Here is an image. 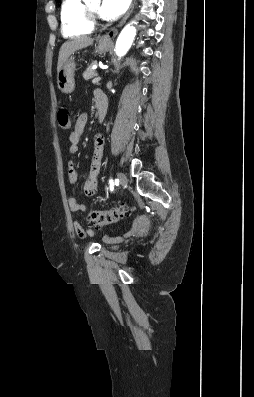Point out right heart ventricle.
I'll return each mask as SVG.
<instances>
[{
    "mask_svg": "<svg viewBox=\"0 0 254 397\" xmlns=\"http://www.w3.org/2000/svg\"><path fill=\"white\" fill-rule=\"evenodd\" d=\"M61 32L66 38H76L92 32L82 0H63L60 7Z\"/></svg>",
    "mask_w": 254,
    "mask_h": 397,
    "instance_id": "right-heart-ventricle-1",
    "label": "right heart ventricle"
}]
</instances>
